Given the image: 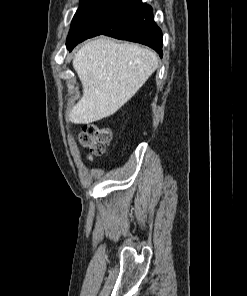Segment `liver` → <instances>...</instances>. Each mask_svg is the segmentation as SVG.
<instances>
[{
  "instance_id": "liver-1",
  "label": "liver",
  "mask_w": 247,
  "mask_h": 296,
  "mask_svg": "<svg viewBox=\"0 0 247 296\" xmlns=\"http://www.w3.org/2000/svg\"><path fill=\"white\" fill-rule=\"evenodd\" d=\"M157 67L158 56L148 48L104 37L89 41L73 58L83 96L70 111V121L89 124L114 114Z\"/></svg>"
}]
</instances>
